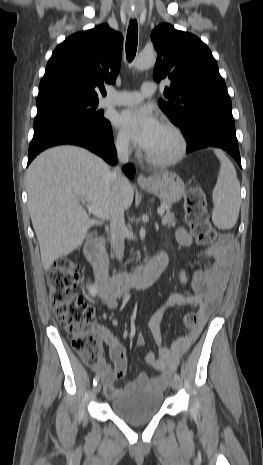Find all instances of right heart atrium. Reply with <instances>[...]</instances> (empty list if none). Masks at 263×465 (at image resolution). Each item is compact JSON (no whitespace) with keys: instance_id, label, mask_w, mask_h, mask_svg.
<instances>
[{"instance_id":"right-heart-atrium-1","label":"right heart atrium","mask_w":263,"mask_h":465,"mask_svg":"<svg viewBox=\"0 0 263 465\" xmlns=\"http://www.w3.org/2000/svg\"><path fill=\"white\" fill-rule=\"evenodd\" d=\"M114 149L121 156H128L132 152L129 140L122 134H117L114 139Z\"/></svg>"}]
</instances>
